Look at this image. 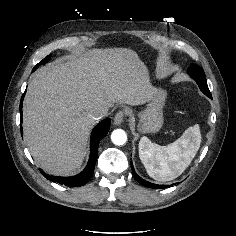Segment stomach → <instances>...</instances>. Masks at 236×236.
Masks as SVG:
<instances>
[{
    "instance_id": "obj_1",
    "label": "stomach",
    "mask_w": 236,
    "mask_h": 236,
    "mask_svg": "<svg viewBox=\"0 0 236 236\" xmlns=\"http://www.w3.org/2000/svg\"><path fill=\"white\" fill-rule=\"evenodd\" d=\"M167 92L163 88H154L147 108L139 114L138 130L142 133H156L163 125V107Z\"/></svg>"
}]
</instances>
